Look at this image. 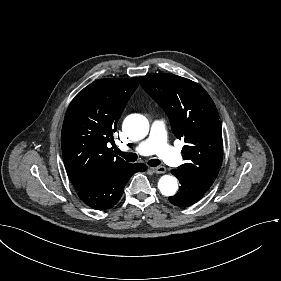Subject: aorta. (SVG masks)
Listing matches in <instances>:
<instances>
[{
    "label": "aorta",
    "mask_w": 281,
    "mask_h": 281,
    "mask_svg": "<svg viewBox=\"0 0 281 281\" xmlns=\"http://www.w3.org/2000/svg\"><path fill=\"white\" fill-rule=\"evenodd\" d=\"M123 129L132 139L139 140L148 134L149 122L142 115H131L124 122ZM158 189L165 196H173L178 189L176 177L172 175L162 176L158 182Z\"/></svg>",
    "instance_id": "1"
}]
</instances>
